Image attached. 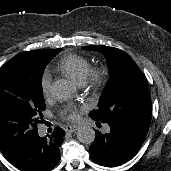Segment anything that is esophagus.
Returning <instances> with one entry per match:
<instances>
[{
  "mask_svg": "<svg viewBox=\"0 0 171 171\" xmlns=\"http://www.w3.org/2000/svg\"><path fill=\"white\" fill-rule=\"evenodd\" d=\"M78 129H79V126H77V125H67L64 127V130L66 132H75Z\"/></svg>",
  "mask_w": 171,
  "mask_h": 171,
  "instance_id": "34e87169",
  "label": "esophagus"
}]
</instances>
